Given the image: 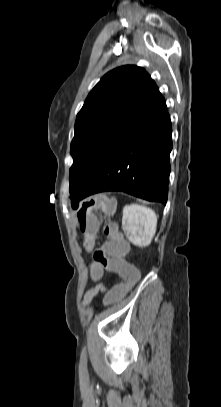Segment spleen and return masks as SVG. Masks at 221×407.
I'll return each mask as SVG.
<instances>
[{"label":"spleen","mask_w":221,"mask_h":407,"mask_svg":"<svg viewBox=\"0 0 221 407\" xmlns=\"http://www.w3.org/2000/svg\"><path fill=\"white\" fill-rule=\"evenodd\" d=\"M157 219L151 208L139 204L126 205L123 208L122 228L134 245L147 246L156 233Z\"/></svg>","instance_id":"3e777b00"}]
</instances>
